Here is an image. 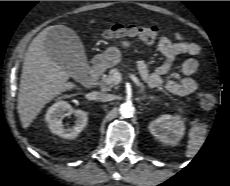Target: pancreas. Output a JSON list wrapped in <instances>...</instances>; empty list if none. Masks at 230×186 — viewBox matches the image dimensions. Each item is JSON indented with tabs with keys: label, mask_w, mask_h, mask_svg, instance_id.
<instances>
[{
	"label": "pancreas",
	"mask_w": 230,
	"mask_h": 186,
	"mask_svg": "<svg viewBox=\"0 0 230 186\" xmlns=\"http://www.w3.org/2000/svg\"><path fill=\"white\" fill-rule=\"evenodd\" d=\"M118 71H119L118 68L111 69L109 71V75L103 77L102 80L100 81V86L103 89H106V90H108L109 88L113 87L115 85V82L113 81V76Z\"/></svg>",
	"instance_id": "cf45deb5"
}]
</instances>
